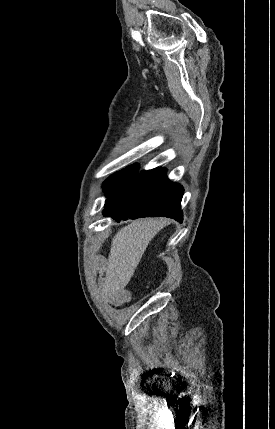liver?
<instances>
[{"mask_svg":"<svg viewBox=\"0 0 275 429\" xmlns=\"http://www.w3.org/2000/svg\"><path fill=\"white\" fill-rule=\"evenodd\" d=\"M168 223L165 219L135 220L113 237L107 261L105 287L118 294L129 283L149 242Z\"/></svg>","mask_w":275,"mask_h":429,"instance_id":"1","label":"liver"}]
</instances>
